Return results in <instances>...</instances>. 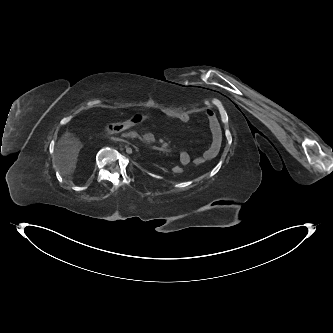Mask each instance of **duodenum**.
<instances>
[{"label": "duodenum", "instance_id": "duodenum-1", "mask_svg": "<svg viewBox=\"0 0 333 333\" xmlns=\"http://www.w3.org/2000/svg\"><path fill=\"white\" fill-rule=\"evenodd\" d=\"M136 136L137 135V133L135 132V131H128L127 133L125 132H123L120 136L123 138L124 136L126 137V136ZM154 151H159V152H161V151H165V149L163 148V147H161V146H159V145H153L152 147H151Z\"/></svg>", "mask_w": 333, "mask_h": 333}]
</instances>
